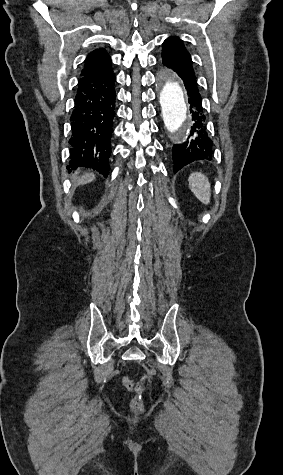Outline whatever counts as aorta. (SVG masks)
Returning <instances> with one entry per match:
<instances>
[{
    "instance_id": "762f6f07",
    "label": "aorta",
    "mask_w": 283,
    "mask_h": 475,
    "mask_svg": "<svg viewBox=\"0 0 283 475\" xmlns=\"http://www.w3.org/2000/svg\"><path fill=\"white\" fill-rule=\"evenodd\" d=\"M160 88V104L165 128L175 141L182 142L191 127L182 84L174 74L161 72Z\"/></svg>"
}]
</instances>
